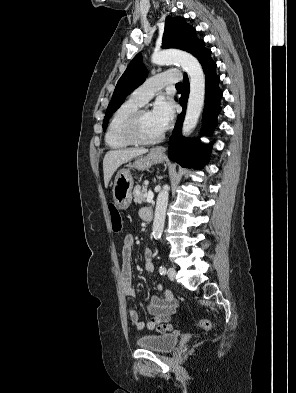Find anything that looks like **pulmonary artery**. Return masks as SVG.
Masks as SVG:
<instances>
[{
  "label": "pulmonary artery",
  "mask_w": 296,
  "mask_h": 393,
  "mask_svg": "<svg viewBox=\"0 0 296 393\" xmlns=\"http://www.w3.org/2000/svg\"><path fill=\"white\" fill-rule=\"evenodd\" d=\"M180 81L181 77L177 70H169L153 75L131 93L129 100L142 106L165 85L179 83Z\"/></svg>",
  "instance_id": "e3ab8cb5"
}]
</instances>
